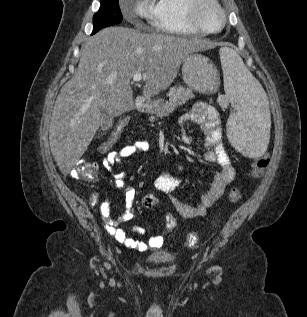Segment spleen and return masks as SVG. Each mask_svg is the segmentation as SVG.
Returning <instances> with one entry per match:
<instances>
[{"mask_svg": "<svg viewBox=\"0 0 307 317\" xmlns=\"http://www.w3.org/2000/svg\"><path fill=\"white\" fill-rule=\"evenodd\" d=\"M226 95L238 107L227 122L230 143L249 157L261 156L268 145L271 106L262 86L232 49H220Z\"/></svg>", "mask_w": 307, "mask_h": 317, "instance_id": "1", "label": "spleen"}]
</instances>
